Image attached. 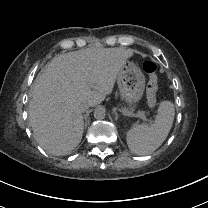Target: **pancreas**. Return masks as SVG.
<instances>
[{
	"instance_id": "pancreas-1",
	"label": "pancreas",
	"mask_w": 208,
	"mask_h": 208,
	"mask_svg": "<svg viewBox=\"0 0 208 208\" xmlns=\"http://www.w3.org/2000/svg\"><path fill=\"white\" fill-rule=\"evenodd\" d=\"M123 110L125 112H131L132 113L134 111V107H129V108L124 107Z\"/></svg>"
}]
</instances>
